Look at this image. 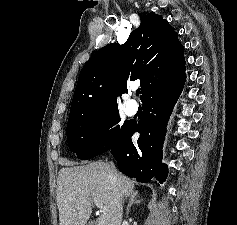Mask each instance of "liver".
<instances>
[{"label":"liver","mask_w":237,"mask_h":225,"mask_svg":"<svg viewBox=\"0 0 237 225\" xmlns=\"http://www.w3.org/2000/svg\"><path fill=\"white\" fill-rule=\"evenodd\" d=\"M134 187L132 180L113 171L107 162L62 168L57 180L60 225H86L94 198L106 207L96 225H121L122 198L134 193Z\"/></svg>","instance_id":"1"}]
</instances>
